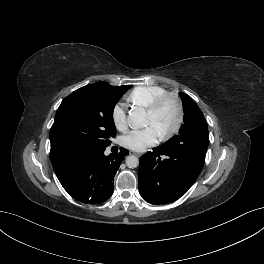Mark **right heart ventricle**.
<instances>
[{"label":"right heart ventricle","instance_id":"1","mask_svg":"<svg viewBox=\"0 0 264 264\" xmlns=\"http://www.w3.org/2000/svg\"><path fill=\"white\" fill-rule=\"evenodd\" d=\"M167 90L157 85L135 87L127 96L126 101L132 105L147 108L157 97Z\"/></svg>","mask_w":264,"mask_h":264}]
</instances>
